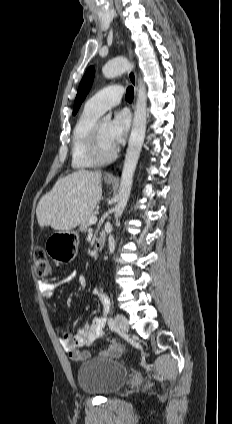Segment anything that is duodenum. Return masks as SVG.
<instances>
[{"label":"duodenum","mask_w":232,"mask_h":424,"mask_svg":"<svg viewBox=\"0 0 232 424\" xmlns=\"http://www.w3.org/2000/svg\"><path fill=\"white\" fill-rule=\"evenodd\" d=\"M105 245V235L100 234L95 241V251L99 252Z\"/></svg>","instance_id":"duodenum-1"}]
</instances>
